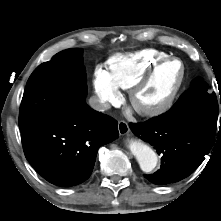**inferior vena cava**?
Returning <instances> with one entry per match:
<instances>
[{
  "label": "inferior vena cava",
  "mask_w": 221,
  "mask_h": 221,
  "mask_svg": "<svg viewBox=\"0 0 221 221\" xmlns=\"http://www.w3.org/2000/svg\"><path fill=\"white\" fill-rule=\"evenodd\" d=\"M89 105L96 111L104 112L110 108V105L96 96H92L89 99Z\"/></svg>",
  "instance_id": "obj_1"
}]
</instances>
